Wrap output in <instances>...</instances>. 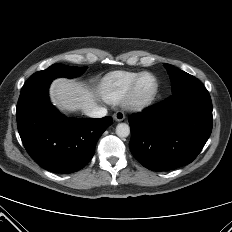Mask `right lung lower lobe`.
<instances>
[{"instance_id":"1","label":"right lung lower lobe","mask_w":232,"mask_h":232,"mask_svg":"<svg viewBox=\"0 0 232 232\" xmlns=\"http://www.w3.org/2000/svg\"><path fill=\"white\" fill-rule=\"evenodd\" d=\"M50 82L21 91L16 108L17 127L24 147L41 167L72 173L93 157L95 145L113 122L99 119L66 118L48 99Z\"/></svg>"}]
</instances>
